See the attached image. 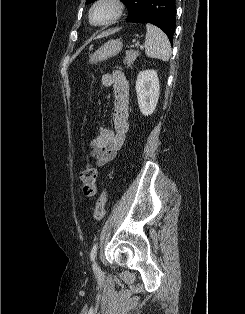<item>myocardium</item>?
I'll use <instances>...</instances> for the list:
<instances>
[{"mask_svg":"<svg viewBox=\"0 0 245 314\" xmlns=\"http://www.w3.org/2000/svg\"><path fill=\"white\" fill-rule=\"evenodd\" d=\"M101 4H109L112 6L113 8V14L111 15V17L103 22V23H96L93 21L92 15L94 10ZM125 11V4L123 3L122 0H95V2L92 4L90 10H89V21L91 24L95 25V26H108L111 25L113 23H115L118 19L121 18V16L123 15Z\"/></svg>","mask_w":245,"mask_h":314,"instance_id":"1","label":"myocardium"}]
</instances>
